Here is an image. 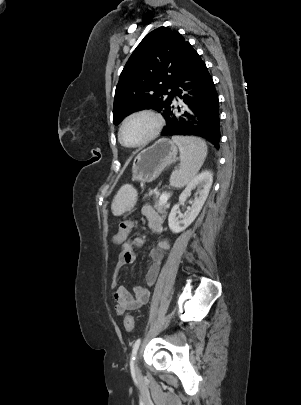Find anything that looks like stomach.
Returning <instances> with one entry per match:
<instances>
[{"label":"stomach","instance_id":"0dacf381","mask_svg":"<svg viewBox=\"0 0 301 405\" xmlns=\"http://www.w3.org/2000/svg\"><path fill=\"white\" fill-rule=\"evenodd\" d=\"M177 153V146L171 140L163 138L156 141L139 152L134 159L132 179L140 183L154 181L176 159Z\"/></svg>","mask_w":301,"mask_h":405}]
</instances>
